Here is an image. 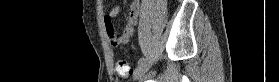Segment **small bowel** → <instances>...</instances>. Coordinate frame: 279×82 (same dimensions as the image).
Returning <instances> with one entry per match:
<instances>
[{
    "instance_id": "1",
    "label": "small bowel",
    "mask_w": 279,
    "mask_h": 82,
    "mask_svg": "<svg viewBox=\"0 0 279 82\" xmlns=\"http://www.w3.org/2000/svg\"><path fill=\"white\" fill-rule=\"evenodd\" d=\"M120 13L119 7H113L105 16V28L109 38V43L113 47L126 44L135 32V26L140 14V1L133 0L129 7L128 19L121 32L114 29L113 19Z\"/></svg>"
}]
</instances>
